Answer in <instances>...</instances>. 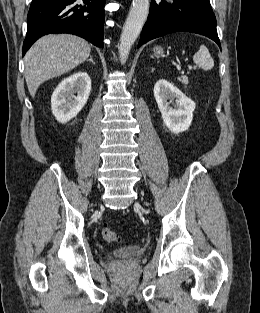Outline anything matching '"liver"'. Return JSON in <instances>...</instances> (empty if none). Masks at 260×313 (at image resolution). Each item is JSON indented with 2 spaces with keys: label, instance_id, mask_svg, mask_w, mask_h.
Wrapping results in <instances>:
<instances>
[{
  "label": "liver",
  "instance_id": "liver-1",
  "mask_svg": "<svg viewBox=\"0 0 260 313\" xmlns=\"http://www.w3.org/2000/svg\"><path fill=\"white\" fill-rule=\"evenodd\" d=\"M90 52V44L75 35L55 34L40 38L24 57L25 80L30 95L34 97L44 81L60 76L84 62Z\"/></svg>",
  "mask_w": 260,
  "mask_h": 313
}]
</instances>
